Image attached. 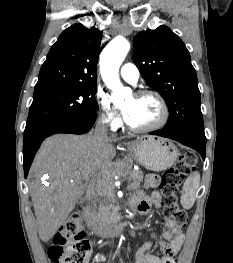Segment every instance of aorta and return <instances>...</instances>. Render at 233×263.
<instances>
[{"mask_svg":"<svg viewBox=\"0 0 233 263\" xmlns=\"http://www.w3.org/2000/svg\"><path fill=\"white\" fill-rule=\"evenodd\" d=\"M130 50L129 42L123 37L114 38L103 50L100 60V71L103 81L113 91V99L122 102L131 94L119 79V68Z\"/></svg>","mask_w":233,"mask_h":263,"instance_id":"aorta-1","label":"aorta"}]
</instances>
